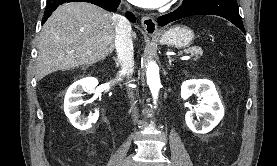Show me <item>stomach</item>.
<instances>
[{
    "instance_id": "stomach-1",
    "label": "stomach",
    "mask_w": 277,
    "mask_h": 166,
    "mask_svg": "<svg viewBox=\"0 0 277 166\" xmlns=\"http://www.w3.org/2000/svg\"><path fill=\"white\" fill-rule=\"evenodd\" d=\"M157 38L162 45H168L175 48H185L192 44L195 35L189 27L177 25L158 34Z\"/></svg>"
}]
</instances>
